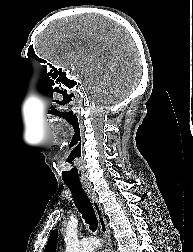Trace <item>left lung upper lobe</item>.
<instances>
[{
	"label": "left lung upper lobe",
	"mask_w": 193,
	"mask_h": 252,
	"mask_svg": "<svg viewBox=\"0 0 193 252\" xmlns=\"http://www.w3.org/2000/svg\"><path fill=\"white\" fill-rule=\"evenodd\" d=\"M58 231L54 230L49 236L44 252H55Z\"/></svg>",
	"instance_id": "left-lung-upper-lobe-1"
}]
</instances>
